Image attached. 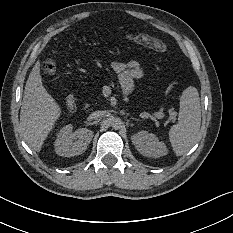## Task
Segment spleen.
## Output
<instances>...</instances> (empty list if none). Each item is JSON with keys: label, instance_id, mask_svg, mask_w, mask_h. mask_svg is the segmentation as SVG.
<instances>
[{"label": "spleen", "instance_id": "obj_1", "mask_svg": "<svg viewBox=\"0 0 233 233\" xmlns=\"http://www.w3.org/2000/svg\"><path fill=\"white\" fill-rule=\"evenodd\" d=\"M201 125V106L198 90L187 87L180 97L178 123L169 131V139L177 156L188 152L198 141Z\"/></svg>", "mask_w": 233, "mask_h": 233}]
</instances>
